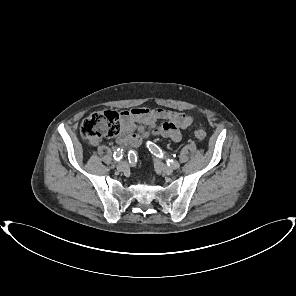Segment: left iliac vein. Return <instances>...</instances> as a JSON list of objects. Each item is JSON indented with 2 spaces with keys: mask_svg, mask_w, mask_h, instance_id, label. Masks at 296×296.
Here are the masks:
<instances>
[{
  "mask_svg": "<svg viewBox=\"0 0 296 296\" xmlns=\"http://www.w3.org/2000/svg\"><path fill=\"white\" fill-rule=\"evenodd\" d=\"M155 165L157 168H159L161 171H163L166 174H172L174 171V168L167 166L166 164L155 161Z\"/></svg>",
  "mask_w": 296,
  "mask_h": 296,
  "instance_id": "4c4485c4",
  "label": "left iliac vein"
}]
</instances>
